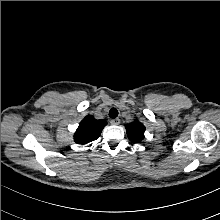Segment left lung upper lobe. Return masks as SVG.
I'll return each mask as SVG.
<instances>
[{"mask_svg": "<svg viewBox=\"0 0 220 220\" xmlns=\"http://www.w3.org/2000/svg\"><path fill=\"white\" fill-rule=\"evenodd\" d=\"M125 128L130 141L133 143H138L144 139L145 126L138 120L126 124Z\"/></svg>", "mask_w": 220, "mask_h": 220, "instance_id": "5c2ea615", "label": "left lung upper lobe"}]
</instances>
